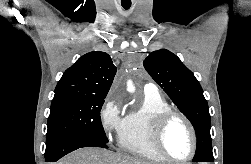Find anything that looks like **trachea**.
<instances>
[{
  "label": "trachea",
  "mask_w": 251,
  "mask_h": 164,
  "mask_svg": "<svg viewBox=\"0 0 251 164\" xmlns=\"http://www.w3.org/2000/svg\"><path fill=\"white\" fill-rule=\"evenodd\" d=\"M122 6L124 9H129L131 7V3H128V4H125V3H122Z\"/></svg>",
  "instance_id": "obj_1"
}]
</instances>
